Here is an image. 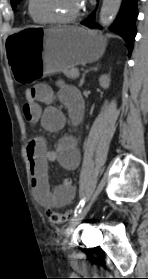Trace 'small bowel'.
I'll use <instances>...</instances> for the list:
<instances>
[{
  "label": "small bowel",
  "mask_w": 148,
  "mask_h": 279,
  "mask_svg": "<svg viewBox=\"0 0 148 279\" xmlns=\"http://www.w3.org/2000/svg\"><path fill=\"white\" fill-rule=\"evenodd\" d=\"M34 91V100L23 106V113L29 122H40L49 132L62 130L66 124V116L52 104L56 96L66 106L71 120L75 124L80 121L83 115V102L75 88L61 86L55 93L49 85L37 84ZM26 151L35 200L45 208H57L71 203L75 196L72 180L66 178L51 189L48 180V162L57 161L65 169H75L80 160L75 140L72 137H64L55 150H48L45 139L35 137L28 142Z\"/></svg>",
  "instance_id": "small-bowel-1"
}]
</instances>
